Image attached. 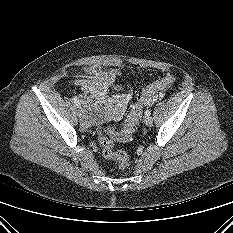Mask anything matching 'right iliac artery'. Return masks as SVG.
Masks as SVG:
<instances>
[{"instance_id":"1","label":"right iliac artery","mask_w":233,"mask_h":233,"mask_svg":"<svg viewBox=\"0 0 233 233\" xmlns=\"http://www.w3.org/2000/svg\"><path fill=\"white\" fill-rule=\"evenodd\" d=\"M72 100H73V102H74V104L76 105V106H80V100L76 97V96H74L73 98H72Z\"/></svg>"}]
</instances>
